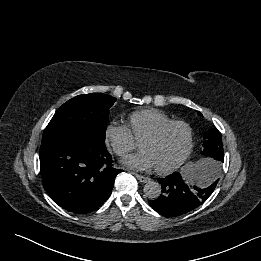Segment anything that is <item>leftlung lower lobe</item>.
I'll return each instance as SVG.
<instances>
[{"label": "left lung lower lobe", "mask_w": 261, "mask_h": 261, "mask_svg": "<svg viewBox=\"0 0 261 261\" xmlns=\"http://www.w3.org/2000/svg\"><path fill=\"white\" fill-rule=\"evenodd\" d=\"M220 166L206 163L200 169L201 182L188 186L182 175L174 172L158 181L162 194L155 200H149V205L161 215L175 217L183 215L205 202L213 193L217 183Z\"/></svg>", "instance_id": "0a47b994"}]
</instances>
